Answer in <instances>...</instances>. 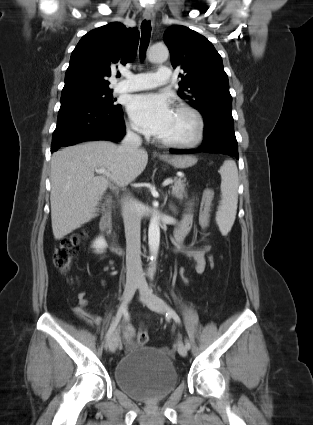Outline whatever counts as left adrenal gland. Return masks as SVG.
<instances>
[{"label": "left adrenal gland", "mask_w": 313, "mask_h": 425, "mask_svg": "<svg viewBox=\"0 0 313 425\" xmlns=\"http://www.w3.org/2000/svg\"><path fill=\"white\" fill-rule=\"evenodd\" d=\"M169 209L174 215L177 214V208L173 204H169Z\"/></svg>", "instance_id": "obj_1"}]
</instances>
